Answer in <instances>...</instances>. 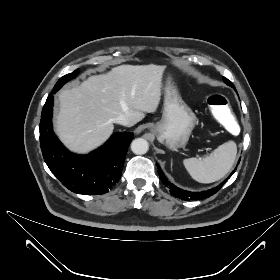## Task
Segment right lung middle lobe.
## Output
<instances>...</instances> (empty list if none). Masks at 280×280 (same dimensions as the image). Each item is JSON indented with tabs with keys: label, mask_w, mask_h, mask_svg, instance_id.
Masks as SVG:
<instances>
[{
	"label": "right lung middle lobe",
	"mask_w": 280,
	"mask_h": 280,
	"mask_svg": "<svg viewBox=\"0 0 280 280\" xmlns=\"http://www.w3.org/2000/svg\"><path fill=\"white\" fill-rule=\"evenodd\" d=\"M78 69L75 70L72 73H69L67 75H64L63 77H61L58 82L55 84L53 91L56 92L58 91L67 81L73 79L77 74H78Z\"/></svg>",
	"instance_id": "dd1d6c3e"
}]
</instances>
